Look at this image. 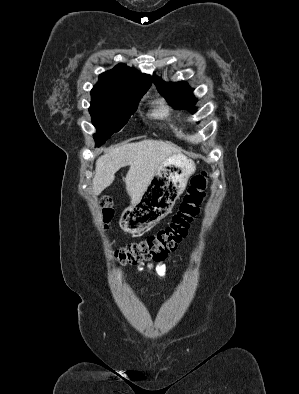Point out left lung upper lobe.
Wrapping results in <instances>:
<instances>
[{
    "label": "left lung upper lobe",
    "mask_w": 299,
    "mask_h": 394,
    "mask_svg": "<svg viewBox=\"0 0 299 394\" xmlns=\"http://www.w3.org/2000/svg\"><path fill=\"white\" fill-rule=\"evenodd\" d=\"M154 84L162 96H164L171 105L176 109H187L196 112L194 105L196 98L193 96L191 89L186 81L178 83H167L154 77Z\"/></svg>",
    "instance_id": "left-lung-upper-lobe-1"
}]
</instances>
